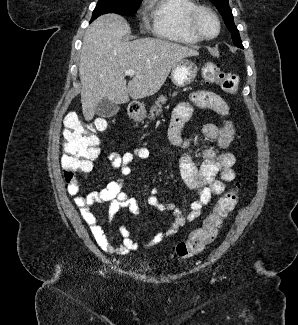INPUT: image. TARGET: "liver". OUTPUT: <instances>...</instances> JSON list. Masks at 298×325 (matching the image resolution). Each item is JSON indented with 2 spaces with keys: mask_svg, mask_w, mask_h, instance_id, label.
Masks as SVG:
<instances>
[{
  "mask_svg": "<svg viewBox=\"0 0 298 325\" xmlns=\"http://www.w3.org/2000/svg\"><path fill=\"white\" fill-rule=\"evenodd\" d=\"M130 32L120 14H102L89 24L84 34L79 76L81 102L85 120H92L102 98L115 104L131 98L156 94L169 76L174 64L187 56H198V50L161 38H137L123 42ZM134 68L131 80L125 70Z\"/></svg>",
  "mask_w": 298,
  "mask_h": 325,
  "instance_id": "obj_1",
  "label": "liver"
}]
</instances>
